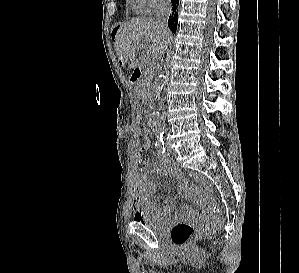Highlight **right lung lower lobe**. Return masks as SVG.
Instances as JSON below:
<instances>
[{"label":"right lung lower lobe","instance_id":"1","mask_svg":"<svg viewBox=\"0 0 299 273\" xmlns=\"http://www.w3.org/2000/svg\"><path fill=\"white\" fill-rule=\"evenodd\" d=\"M171 2H172L173 8H172V14L170 15L169 20H168V26L172 32H175L177 29V23H178L177 6L179 4V0H171Z\"/></svg>","mask_w":299,"mask_h":273}]
</instances>
